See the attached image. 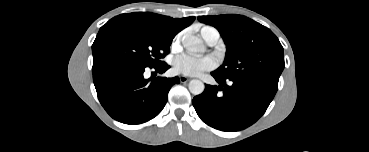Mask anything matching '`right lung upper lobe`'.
Returning <instances> with one entry per match:
<instances>
[{
  "label": "right lung upper lobe",
  "mask_w": 369,
  "mask_h": 152,
  "mask_svg": "<svg viewBox=\"0 0 369 152\" xmlns=\"http://www.w3.org/2000/svg\"><path fill=\"white\" fill-rule=\"evenodd\" d=\"M120 16L161 35L173 37L185 27L189 26L195 17L171 18L149 12L125 13Z\"/></svg>",
  "instance_id": "obj_1"
}]
</instances>
